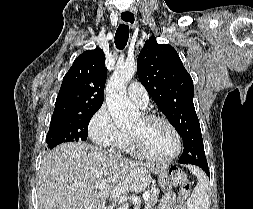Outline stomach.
I'll use <instances>...</instances> for the list:
<instances>
[{"mask_svg": "<svg viewBox=\"0 0 253 209\" xmlns=\"http://www.w3.org/2000/svg\"><path fill=\"white\" fill-rule=\"evenodd\" d=\"M168 171H166V168H163L161 171H160V174L158 176V182L159 183V188H166V183L165 182H168ZM149 183V182H148Z\"/></svg>", "mask_w": 253, "mask_h": 209, "instance_id": "0dacf381", "label": "stomach"}]
</instances>
